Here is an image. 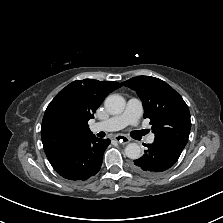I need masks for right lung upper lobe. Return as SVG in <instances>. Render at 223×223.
I'll return each mask as SVG.
<instances>
[{
  "label": "right lung upper lobe",
  "mask_w": 223,
  "mask_h": 223,
  "mask_svg": "<svg viewBox=\"0 0 223 223\" xmlns=\"http://www.w3.org/2000/svg\"><path fill=\"white\" fill-rule=\"evenodd\" d=\"M121 87L114 81L77 80L62 89L48 105L41 128L46 155L93 136L88 120L105 97Z\"/></svg>",
  "instance_id": "right-lung-upper-lobe-1"
}]
</instances>
